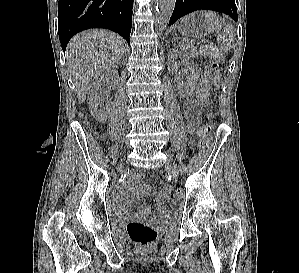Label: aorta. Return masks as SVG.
Here are the masks:
<instances>
[{
  "mask_svg": "<svg viewBox=\"0 0 299 273\" xmlns=\"http://www.w3.org/2000/svg\"><path fill=\"white\" fill-rule=\"evenodd\" d=\"M176 0H157V21L162 29H165L173 13Z\"/></svg>",
  "mask_w": 299,
  "mask_h": 273,
  "instance_id": "aorta-1",
  "label": "aorta"
}]
</instances>
